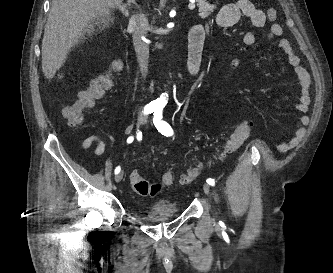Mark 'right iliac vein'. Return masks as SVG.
I'll return each instance as SVG.
<instances>
[{"mask_svg":"<svg viewBox=\"0 0 333 273\" xmlns=\"http://www.w3.org/2000/svg\"><path fill=\"white\" fill-rule=\"evenodd\" d=\"M142 120H143V114L140 113V114L138 115V123H137V125H138ZM122 178H123V172L121 171V172H119V173L115 176V182H116V183H119V182L122 180Z\"/></svg>","mask_w":333,"mask_h":273,"instance_id":"right-iliac-vein-1","label":"right iliac vein"}]
</instances>
